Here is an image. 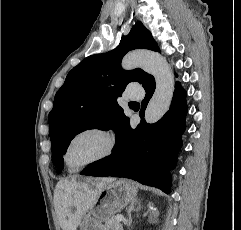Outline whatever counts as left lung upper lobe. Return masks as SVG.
Listing matches in <instances>:
<instances>
[{
	"instance_id": "obj_1",
	"label": "left lung upper lobe",
	"mask_w": 241,
	"mask_h": 230,
	"mask_svg": "<svg viewBox=\"0 0 241 230\" xmlns=\"http://www.w3.org/2000/svg\"><path fill=\"white\" fill-rule=\"evenodd\" d=\"M139 48L160 52L151 33L140 21L122 37L114 50L85 58L67 75L49 113L52 161L58 173L64 166L63 153L75 135L93 127L111 128L116 134L120 123L128 118L117 97L128 83L137 81L144 86L151 78L139 68L131 71L121 68L124 55Z\"/></svg>"
}]
</instances>
